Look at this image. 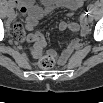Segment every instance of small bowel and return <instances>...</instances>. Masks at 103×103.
Segmentation results:
<instances>
[{
  "label": "small bowel",
  "instance_id": "1",
  "mask_svg": "<svg viewBox=\"0 0 103 103\" xmlns=\"http://www.w3.org/2000/svg\"><path fill=\"white\" fill-rule=\"evenodd\" d=\"M10 6L9 9L13 10L12 7H16L22 14H27L24 27L19 24L15 23L13 25V34L17 41L27 40L33 43L31 48V55L34 59H39L43 54V49L46 43L45 36L41 32L29 33L26 34L25 30L32 31L38 21L43 18L44 16L48 15L49 13L57 10V9H66L72 14L79 8L83 7L84 3L81 0H47L44 2L43 6H39L35 4L33 1H22V0H15L8 3ZM88 12L83 13L78 21L76 22H61L59 24L60 30H68L72 32L80 31L82 34L88 33ZM12 16L14 14L12 13ZM80 43L78 40L72 41L58 56V62L60 64H64L70 56L73 54L75 50L78 49ZM50 53L54 54V51H50Z\"/></svg>",
  "mask_w": 103,
  "mask_h": 103
}]
</instances>
